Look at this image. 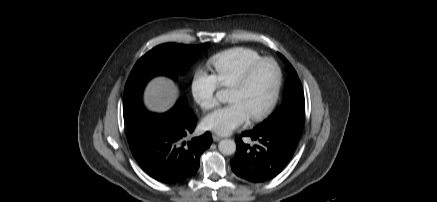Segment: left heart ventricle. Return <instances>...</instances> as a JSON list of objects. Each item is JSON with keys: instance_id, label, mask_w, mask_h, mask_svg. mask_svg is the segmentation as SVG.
<instances>
[{"instance_id": "1", "label": "left heart ventricle", "mask_w": 437, "mask_h": 202, "mask_svg": "<svg viewBox=\"0 0 437 202\" xmlns=\"http://www.w3.org/2000/svg\"><path fill=\"white\" fill-rule=\"evenodd\" d=\"M275 83V67L271 63H263L255 70L247 85L230 89L229 102H239L248 117H251L268 103Z\"/></svg>"}]
</instances>
